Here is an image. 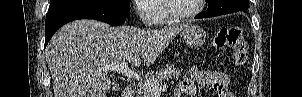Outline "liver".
Here are the masks:
<instances>
[{
    "mask_svg": "<svg viewBox=\"0 0 302 97\" xmlns=\"http://www.w3.org/2000/svg\"><path fill=\"white\" fill-rule=\"evenodd\" d=\"M184 27H112L88 19L64 25L46 48L54 97H106L111 81L105 67L150 66Z\"/></svg>",
    "mask_w": 302,
    "mask_h": 97,
    "instance_id": "obj_1",
    "label": "liver"
}]
</instances>
